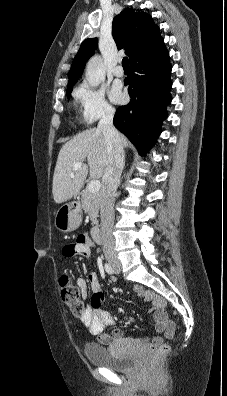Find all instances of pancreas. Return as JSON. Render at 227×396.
I'll return each instance as SVG.
<instances>
[{"label": "pancreas", "mask_w": 227, "mask_h": 396, "mask_svg": "<svg viewBox=\"0 0 227 396\" xmlns=\"http://www.w3.org/2000/svg\"><path fill=\"white\" fill-rule=\"evenodd\" d=\"M100 192L92 193L86 188L82 192V208L88 213L94 225L98 224V213L100 208Z\"/></svg>", "instance_id": "pancreas-1"}]
</instances>
